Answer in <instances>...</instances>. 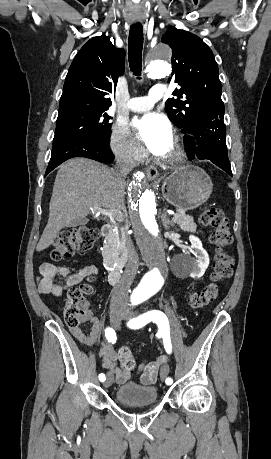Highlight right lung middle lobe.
Returning a JSON list of instances; mask_svg holds the SVG:
<instances>
[{
	"label": "right lung middle lobe",
	"mask_w": 271,
	"mask_h": 459,
	"mask_svg": "<svg viewBox=\"0 0 271 459\" xmlns=\"http://www.w3.org/2000/svg\"><path fill=\"white\" fill-rule=\"evenodd\" d=\"M106 110L79 109L59 112L53 144L73 137L108 139L112 123Z\"/></svg>",
	"instance_id": "dd1d6c3e"
}]
</instances>
